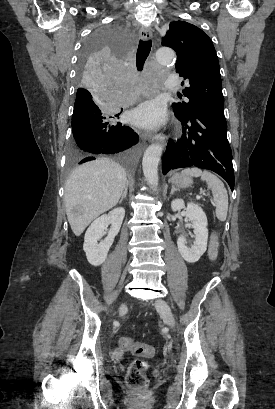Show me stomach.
Listing matches in <instances>:
<instances>
[{
  "mask_svg": "<svg viewBox=\"0 0 275 409\" xmlns=\"http://www.w3.org/2000/svg\"><path fill=\"white\" fill-rule=\"evenodd\" d=\"M170 182H172L174 186H180V188H185V186H191L193 180L191 176H188V174H179V172H175V174L171 176Z\"/></svg>",
  "mask_w": 275,
  "mask_h": 409,
  "instance_id": "obj_1",
  "label": "stomach"
}]
</instances>
